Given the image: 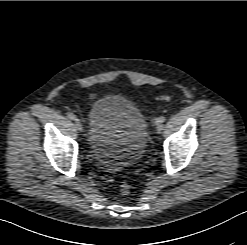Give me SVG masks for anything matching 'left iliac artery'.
<instances>
[{"label": "left iliac artery", "instance_id": "obj_1", "mask_svg": "<svg viewBox=\"0 0 247 245\" xmlns=\"http://www.w3.org/2000/svg\"><path fill=\"white\" fill-rule=\"evenodd\" d=\"M166 120V117L165 116H161L157 119V122L159 123H163L164 121Z\"/></svg>", "mask_w": 247, "mask_h": 245}]
</instances>
